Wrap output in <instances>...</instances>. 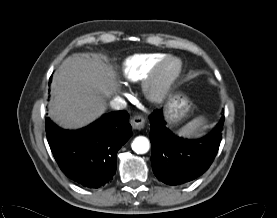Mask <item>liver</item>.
Here are the masks:
<instances>
[{
	"instance_id": "6515ba94",
	"label": "liver",
	"mask_w": 277,
	"mask_h": 218,
	"mask_svg": "<svg viewBox=\"0 0 277 218\" xmlns=\"http://www.w3.org/2000/svg\"><path fill=\"white\" fill-rule=\"evenodd\" d=\"M115 88V72L100 56L73 54L53 77L50 117L64 128L86 126L104 113Z\"/></svg>"
}]
</instances>
